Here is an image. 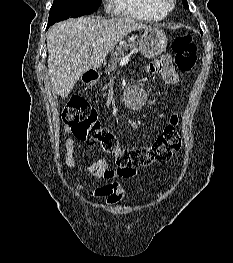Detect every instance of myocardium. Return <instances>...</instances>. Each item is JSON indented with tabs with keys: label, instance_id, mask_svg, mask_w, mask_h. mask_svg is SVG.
Listing matches in <instances>:
<instances>
[{
	"label": "myocardium",
	"instance_id": "1",
	"mask_svg": "<svg viewBox=\"0 0 233 263\" xmlns=\"http://www.w3.org/2000/svg\"><path fill=\"white\" fill-rule=\"evenodd\" d=\"M159 4L166 13L171 11L175 6V0H159Z\"/></svg>",
	"mask_w": 233,
	"mask_h": 263
}]
</instances>
